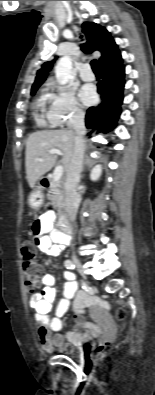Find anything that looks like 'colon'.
<instances>
[{
    "instance_id": "1",
    "label": "colon",
    "mask_w": 155,
    "mask_h": 395,
    "mask_svg": "<svg viewBox=\"0 0 155 395\" xmlns=\"http://www.w3.org/2000/svg\"><path fill=\"white\" fill-rule=\"evenodd\" d=\"M23 256V274L25 286L30 293L35 292L40 287V278L42 276V267L38 262L37 246L35 241H26L22 247ZM125 311L119 310L118 317L124 318ZM108 343L103 342L99 346V350H103Z\"/></svg>"
}]
</instances>
